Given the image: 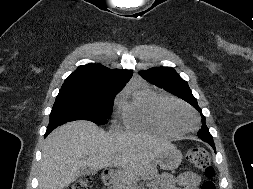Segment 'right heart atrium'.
I'll use <instances>...</instances> for the list:
<instances>
[{"label": "right heart atrium", "mask_w": 253, "mask_h": 189, "mask_svg": "<svg viewBox=\"0 0 253 189\" xmlns=\"http://www.w3.org/2000/svg\"><path fill=\"white\" fill-rule=\"evenodd\" d=\"M118 102H119V104H120V98L118 99Z\"/></svg>", "instance_id": "1"}]
</instances>
